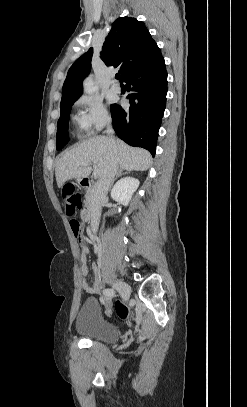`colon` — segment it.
<instances>
[{
    "label": "colon",
    "instance_id": "1",
    "mask_svg": "<svg viewBox=\"0 0 247 407\" xmlns=\"http://www.w3.org/2000/svg\"><path fill=\"white\" fill-rule=\"evenodd\" d=\"M61 196L64 201L66 215L73 216L76 210L81 206V196L75 191L74 186L71 184L65 185L62 188ZM71 228L73 230V233L78 237L81 232V226L79 222L76 220H72ZM115 309L120 319L126 320L129 318L130 312L129 308L126 305L118 301L115 305Z\"/></svg>",
    "mask_w": 247,
    "mask_h": 407
}]
</instances>
